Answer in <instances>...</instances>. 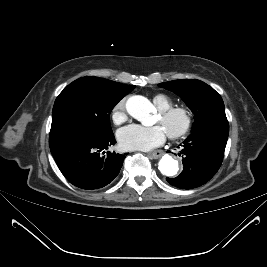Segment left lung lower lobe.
<instances>
[{
  "mask_svg": "<svg viewBox=\"0 0 267 267\" xmlns=\"http://www.w3.org/2000/svg\"><path fill=\"white\" fill-rule=\"evenodd\" d=\"M228 134L229 128L222 127L206 128L191 133L183 142L182 173L176 178L166 180L181 189L195 188L208 182L222 163Z\"/></svg>",
  "mask_w": 267,
  "mask_h": 267,
  "instance_id": "left-lung-lower-lobe-1",
  "label": "left lung lower lobe"
}]
</instances>
